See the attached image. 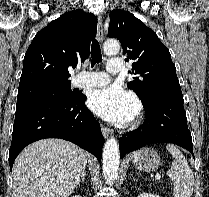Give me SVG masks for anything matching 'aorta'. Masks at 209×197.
<instances>
[{"mask_svg": "<svg viewBox=\"0 0 209 197\" xmlns=\"http://www.w3.org/2000/svg\"><path fill=\"white\" fill-rule=\"evenodd\" d=\"M104 53L108 56L116 55L120 51L117 40H107L103 46ZM103 175L108 183H113L119 170V147L114 137L109 138L103 148Z\"/></svg>", "mask_w": 209, "mask_h": 197, "instance_id": "aorta-1", "label": "aorta"}]
</instances>
